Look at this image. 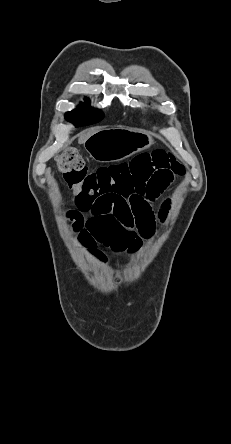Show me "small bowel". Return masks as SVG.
Segmentation results:
<instances>
[{"label":"small bowel","mask_w":231,"mask_h":444,"mask_svg":"<svg viewBox=\"0 0 231 444\" xmlns=\"http://www.w3.org/2000/svg\"><path fill=\"white\" fill-rule=\"evenodd\" d=\"M165 187L156 184L155 195L144 199L135 210L126 200L114 197L77 199L76 209L70 212V220L80 240L99 259L105 260L99 245L116 252H134L143 239L150 238L155 232L156 216L150 201L158 197ZM164 217L165 211L161 214V218Z\"/></svg>","instance_id":"c3829d8e"}]
</instances>
